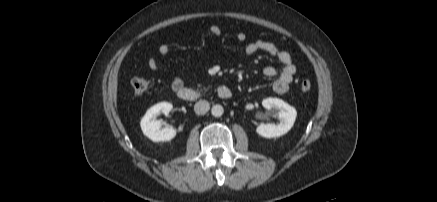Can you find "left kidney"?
I'll return each instance as SVG.
<instances>
[{
  "label": "left kidney",
  "instance_id": "left-kidney-1",
  "mask_svg": "<svg viewBox=\"0 0 437 202\" xmlns=\"http://www.w3.org/2000/svg\"><path fill=\"white\" fill-rule=\"evenodd\" d=\"M265 109L277 113L280 122L278 124H260L256 132L265 138H275L286 134L294 125L297 112L294 107L278 98H266L262 101Z\"/></svg>",
  "mask_w": 437,
  "mask_h": 202
}]
</instances>
